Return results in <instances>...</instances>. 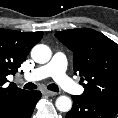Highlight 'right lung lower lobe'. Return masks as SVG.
<instances>
[{"mask_svg": "<svg viewBox=\"0 0 118 118\" xmlns=\"http://www.w3.org/2000/svg\"><path fill=\"white\" fill-rule=\"evenodd\" d=\"M40 98V91H31L27 99L4 112L0 118H30Z\"/></svg>", "mask_w": 118, "mask_h": 118, "instance_id": "98d812e1", "label": "right lung lower lobe"}]
</instances>
